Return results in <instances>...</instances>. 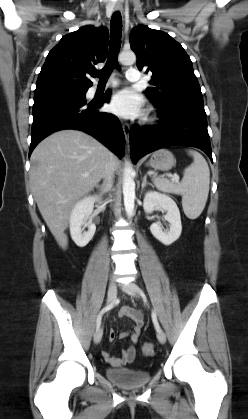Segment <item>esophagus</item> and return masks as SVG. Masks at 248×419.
<instances>
[{
  "instance_id": "esophagus-1",
  "label": "esophagus",
  "mask_w": 248,
  "mask_h": 419,
  "mask_svg": "<svg viewBox=\"0 0 248 419\" xmlns=\"http://www.w3.org/2000/svg\"><path fill=\"white\" fill-rule=\"evenodd\" d=\"M122 5H115L114 6V10L115 11H121L122 10ZM122 128H123V132L126 138L127 143L129 142V136H130V125L126 122L122 123Z\"/></svg>"
}]
</instances>
